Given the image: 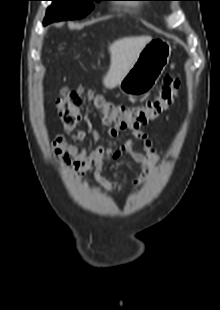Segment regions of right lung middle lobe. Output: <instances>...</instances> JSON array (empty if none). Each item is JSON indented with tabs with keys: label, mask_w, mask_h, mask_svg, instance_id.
<instances>
[{
	"label": "right lung middle lobe",
	"mask_w": 220,
	"mask_h": 310,
	"mask_svg": "<svg viewBox=\"0 0 220 310\" xmlns=\"http://www.w3.org/2000/svg\"><path fill=\"white\" fill-rule=\"evenodd\" d=\"M44 24L54 21L82 18L93 9V1L101 0H51Z\"/></svg>",
	"instance_id": "right-lung-middle-lobe-1"
}]
</instances>
